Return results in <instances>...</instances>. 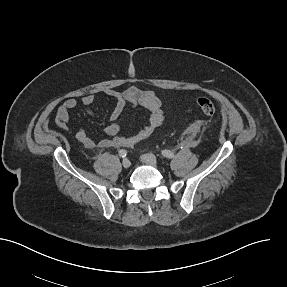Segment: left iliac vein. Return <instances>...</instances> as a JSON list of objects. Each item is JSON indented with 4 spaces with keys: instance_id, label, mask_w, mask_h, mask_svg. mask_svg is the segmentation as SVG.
Instances as JSON below:
<instances>
[{
    "instance_id": "4c4485c4",
    "label": "left iliac vein",
    "mask_w": 287,
    "mask_h": 287,
    "mask_svg": "<svg viewBox=\"0 0 287 287\" xmlns=\"http://www.w3.org/2000/svg\"><path fill=\"white\" fill-rule=\"evenodd\" d=\"M141 160L143 163L151 165V166H158V160L153 154H143L141 156Z\"/></svg>"
}]
</instances>
